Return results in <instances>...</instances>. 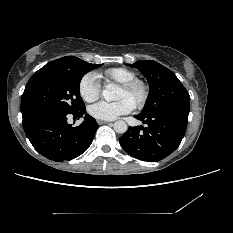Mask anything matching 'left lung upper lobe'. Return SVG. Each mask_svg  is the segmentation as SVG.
I'll return each instance as SVG.
<instances>
[{"label": "left lung upper lobe", "instance_id": "1", "mask_svg": "<svg viewBox=\"0 0 233 233\" xmlns=\"http://www.w3.org/2000/svg\"><path fill=\"white\" fill-rule=\"evenodd\" d=\"M127 65L137 68L149 82L150 100L140 115L189 113V93L171 70L153 60H139Z\"/></svg>", "mask_w": 233, "mask_h": 233}]
</instances>
